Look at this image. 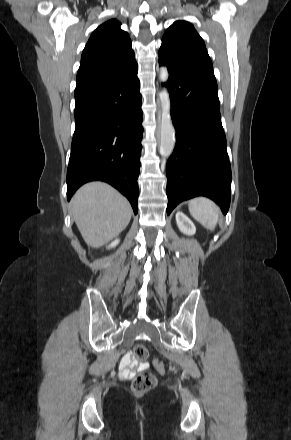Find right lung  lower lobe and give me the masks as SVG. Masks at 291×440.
I'll list each match as a JSON object with an SVG mask.
<instances>
[{"label": "right lung lower lobe", "mask_w": 291, "mask_h": 440, "mask_svg": "<svg viewBox=\"0 0 291 440\" xmlns=\"http://www.w3.org/2000/svg\"><path fill=\"white\" fill-rule=\"evenodd\" d=\"M138 69L114 80L77 86L67 199L84 183L105 181L138 212L143 134Z\"/></svg>", "instance_id": "1"}]
</instances>
